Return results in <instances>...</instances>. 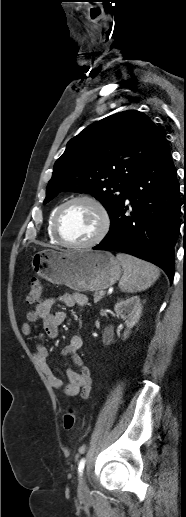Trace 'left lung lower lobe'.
Wrapping results in <instances>:
<instances>
[{
    "label": "left lung lower lobe",
    "mask_w": 186,
    "mask_h": 517,
    "mask_svg": "<svg viewBox=\"0 0 186 517\" xmlns=\"http://www.w3.org/2000/svg\"><path fill=\"white\" fill-rule=\"evenodd\" d=\"M125 202L112 215L110 231L93 249L125 252L159 266L174 278V246L180 229L179 183L164 139L151 159L128 183Z\"/></svg>",
    "instance_id": "left-lung-lower-lobe-1"
}]
</instances>
